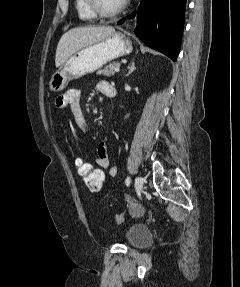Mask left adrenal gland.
Returning a JSON list of instances; mask_svg holds the SVG:
<instances>
[{"instance_id": "obj_1", "label": "left adrenal gland", "mask_w": 240, "mask_h": 287, "mask_svg": "<svg viewBox=\"0 0 240 287\" xmlns=\"http://www.w3.org/2000/svg\"><path fill=\"white\" fill-rule=\"evenodd\" d=\"M135 69H136V67H135V62L132 61V62L128 65V73H127L125 76H128L129 74H131Z\"/></svg>"}]
</instances>
